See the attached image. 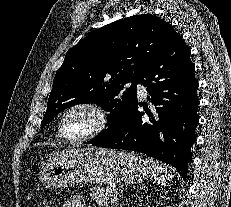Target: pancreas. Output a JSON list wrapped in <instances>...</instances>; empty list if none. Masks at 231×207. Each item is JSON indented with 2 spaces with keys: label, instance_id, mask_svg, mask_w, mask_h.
<instances>
[{
  "label": "pancreas",
  "instance_id": "obj_1",
  "mask_svg": "<svg viewBox=\"0 0 231 207\" xmlns=\"http://www.w3.org/2000/svg\"><path fill=\"white\" fill-rule=\"evenodd\" d=\"M90 195L99 206L108 207L110 202H115L113 199L117 197V190L109 187H93Z\"/></svg>",
  "mask_w": 231,
  "mask_h": 207
}]
</instances>
